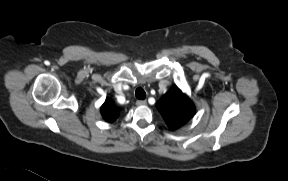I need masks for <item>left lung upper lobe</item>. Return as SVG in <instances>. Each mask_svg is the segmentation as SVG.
Listing matches in <instances>:
<instances>
[{"label": "left lung upper lobe", "instance_id": "obj_1", "mask_svg": "<svg viewBox=\"0 0 288 181\" xmlns=\"http://www.w3.org/2000/svg\"><path fill=\"white\" fill-rule=\"evenodd\" d=\"M157 108L171 130L183 126L195 111L191 100L178 87L171 88L157 102Z\"/></svg>", "mask_w": 288, "mask_h": 181}]
</instances>
